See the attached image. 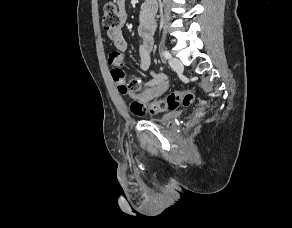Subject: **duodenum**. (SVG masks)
Instances as JSON below:
<instances>
[{
	"mask_svg": "<svg viewBox=\"0 0 292 228\" xmlns=\"http://www.w3.org/2000/svg\"><path fill=\"white\" fill-rule=\"evenodd\" d=\"M147 2H150V3H152V2H154V0H147Z\"/></svg>",
	"mask_w": 292,
	"mask_h": 228,
	"instance_id": "duodenum-1",
	"label": "duodenum"
}]
</instances>
